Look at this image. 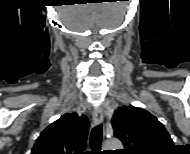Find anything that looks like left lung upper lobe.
Wrapping results in <instances>:
<instances>
[{"mask_svg": "<svg viewBox=\"0 0 190 154\" xmlns=\"http://www.w3.org/2000/svg\"><path fill=\"white\" fill-rule=\"evenodd\" d=\"M112 126L114 135L124 144V154H157L173 147L163 124L142 108L119 107L113 115Z\"/></svg>", "mask_w": 190, "mask_h": 154, "instance_id": "5c2ea615", "label": "left lung upper lobe"}]
</instances>
